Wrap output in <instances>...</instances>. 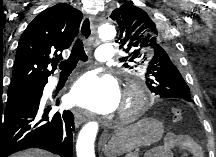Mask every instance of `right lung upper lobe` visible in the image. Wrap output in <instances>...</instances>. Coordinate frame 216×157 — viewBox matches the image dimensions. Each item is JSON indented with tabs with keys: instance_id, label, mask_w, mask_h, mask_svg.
I'll return each instance as SVG.
<instances>
[{
	"instance_id": "right-lung-upper-lobe-1",
	"label": "right lung upper lobe",
	"mask_w": 216,
	"mask_h": 157,
	"mask_svg": "<svg viewBox=\"0 0 216 157\" xmlns=\"http://www.w3.org/2000/svg\"><path fill=\"white\" fill-rule=\"evenodd\" d=\"M81 19L82 12L66 3L37 15L20 37L8 92L47 83L62 59L58 53L70 47ZM50 62L51 71L47 69Z\"/></svg>"
}]
</instances>
